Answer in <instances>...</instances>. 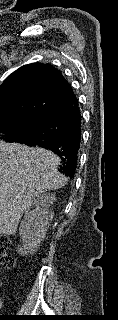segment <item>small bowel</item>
<instances>
[{
	"mask_svg": "<svg viewBox=\"0 0 118 320\" xmlns=\"http://www.w3.org/2000/svg\"><path fill=\"white\" fill-rule=\"evenodd\" d=\"M2 306H3V302H2V300L0 298V310L2 309Z\"/></svg>",
	"mask_w": 118,
	"mask_h": 320,
	"instance_id": "c3829d8e",
	"label": "small bowel"
}]
</instances>
